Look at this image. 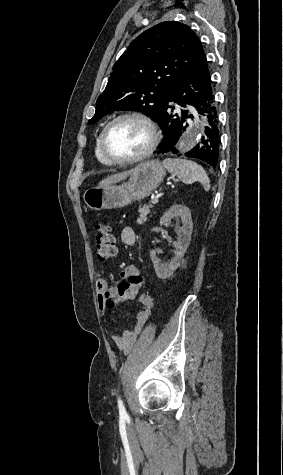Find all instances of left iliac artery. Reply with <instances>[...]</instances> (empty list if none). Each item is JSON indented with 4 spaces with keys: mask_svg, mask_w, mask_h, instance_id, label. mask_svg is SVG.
<instances>
[{
    "mask_svg": "<svg viewBox=\"0 0 283 475\" xmlns=\"http://www.w3.org/2000/svg\"><path fill=\"white\" fill-rule=\"evenodd\" d=\"M118 406H119V414H120L121 416H126L127 413H126V411H125L123 402H122V400H121L120 398L118 399Z\"/></svg>",
    "mask_w": 283,
    "mask_h": 475,
    "instance_id": "obj_1",
    "label": "left iliac artery"
}]
</instances>
